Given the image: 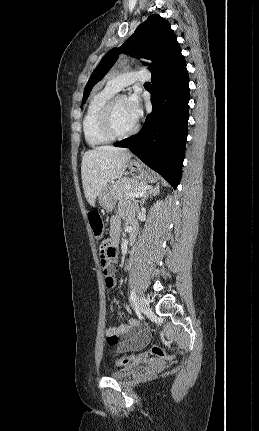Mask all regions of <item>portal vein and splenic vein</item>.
I'll list each match as a JSON object with an SVG mask.
<instances>
[{
	"instance_id": "obj_1",
	"label": "portal vein and splenic vein",
	"mask_w": 259,
	"mask_h": 431,
	"mask_svg": "<svg viewBox=\"0 0 259 431\" xmlns=\"http://www.w3.org/2000/svg\"><path fill=\"white\" fill-rule=\"evenodd\" d=\"M146 189H147V187L144 189L134 190V191H131L129 193H126L125 196L133 197V198L134 197H141L142 195H144L146 193Z\"/></svg>"
}]
</instances>
